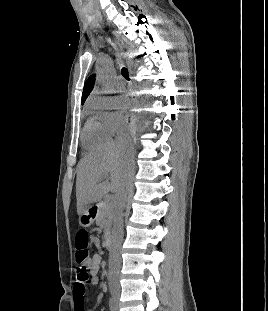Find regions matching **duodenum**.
I'll list each match as a JSON object with an SVG mask.
<instances>
[{"mask_svg":"<svg viewBox=\"0 0 268 311\" xmlns=\"http://www.w3.org/2000/svg\"><path fill=\"white\" fill-rule=\"evenodd\" d=\"M96 212V208L93 209L92 213ZM105 246L107 248V250L112 251L113 247H114V239L113 237L109 236L106 238L105 240Z\"/></svg>","mask_w":268,"mask_h":311,"instance_id":"1","label":"duodenum"}]
</instances>
